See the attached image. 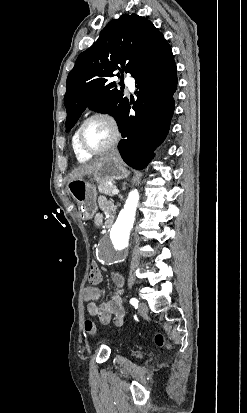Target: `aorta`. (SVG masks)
<instances>
[{
    "mask_svg": "<svg viewBox=\"0 0 247 413\" xmlns=\"http://www.w3.org/2000/svg\"><path fill=\"white\" fill-rule=\"evenodd\" d=\"M139 201V193L136 189L129 192L124 208L120 211L116 222L111 229V237L117 248L128 245L130 230L135 221V211Z\"/></svg>",
    "mask_w": 247,
    "mask_h": 413,
    "instance_id": "aorta-1",
    "label": "aorta"
}]
</instances>
